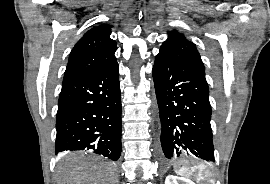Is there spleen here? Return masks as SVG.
Returning a JSON list of instances; mask_svg holds the SVG:
<instances>
[{"mask_svg": "<svg viewBox=\"0 0 270 184\" xmlns=\"http://www.w3.org/2000/svg\"><path fill=\"white\" fill-rule=\"evenodd\" d=\"M177 174L186 178H194L199 184H210L212 182L211 172L203 164L182 168Z\"/></svg>", "mask_w": 270, "mask_h": 184, "instance_id": "spleen-1", "label": "spleen"}]
</instances>
